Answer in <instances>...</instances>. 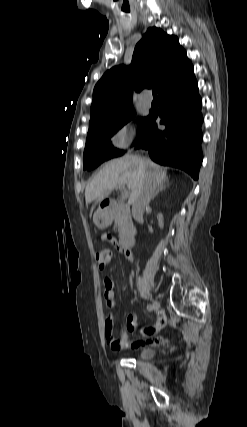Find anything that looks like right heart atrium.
<instances>
[{
    "label": "right heart atrium",
    "mask_w": 247,
    "mask_h": 427,
    "mask_svg": "<svg viewBox=\"0 0 247 427\" xmlns=\"http://www.w3.org/2000/svg\"><path fill=\"white\" fill-rule=\"evenodd\" d=\"M139 141V132L136 126L128 123L117 128L110 138L111 146L118 150L131 148Z\"/></svg>",
    "instance_id": "right-heart-atrium-1"
}]
</instances>
